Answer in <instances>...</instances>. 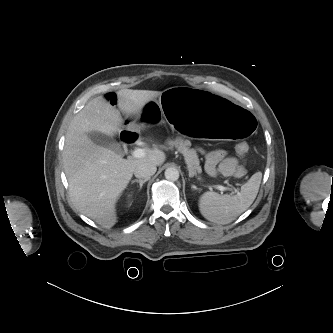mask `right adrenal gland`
<instances>
[{"label": "right adrenal gland", "mask_w": 333, "mask_h": 333, "mask_svg": "<svg viewBox=\"0 0 333 333\" xmlns=\"http://www.w3.org/2000/svg\"><path fill=\"white\" fill-rule=\"evenodd\" d=\"M149 180V178H147V179H135V180H132L131 181V183L133 184V183H139V186H140V189H142V186H143V184L145 183V182H147Z\"/></svg>", "instance_id": "right-adrenal-gland-1"}]
</instances>
